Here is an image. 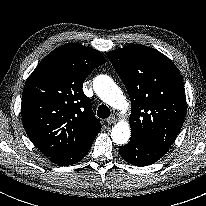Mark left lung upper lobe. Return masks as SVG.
Returning <instances> with one entry per match:
<instances>
[{
    "instance_id": "obj_1",
    "label": "left lung upper lobe",
    "mask_w": 206,
    "mask_h": 206,
    "mask_svg": "<svg viewBox=\"0 0 206 206\" xmlns=\"http://www.w3.org/2000/svg\"><path fill=\"white\" fill-rule=\"evenodd\" d=\"M131 100V138L169 148L186 115L183 79L161 52L139 44L107 53Z\"/></svg>"
}]
</instances>
